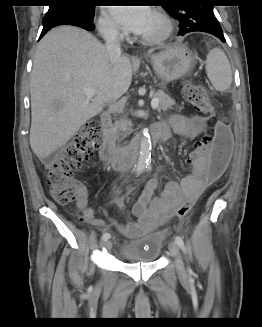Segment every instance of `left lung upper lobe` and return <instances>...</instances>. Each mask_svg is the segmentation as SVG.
Wrapping results in <instances>:
<instances>
[{
	"instance_id": "1",
	"label": "left lung upper lobe",
	"mask_w": 262,
	"mask_h": 327,
	"mask_svg": "<svg viewBox=\"0 0 262 327\" xmlns=\"http://www.w3.org/2000/svg\"><path fill=\"white\" fill-rule=\"evenodd\" d=\"M188 0H171L164 10L179 22V34L185 35L189 32H206L214 36L223 35L222 28L213 13V6L204 4L202 6L188 4Z\"/></svg>"
}]
</instances>
